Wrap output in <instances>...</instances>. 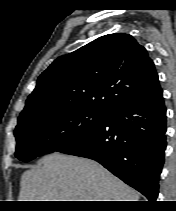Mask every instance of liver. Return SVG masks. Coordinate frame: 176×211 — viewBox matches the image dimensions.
Returning <instances> with one entry per match:
<instances>
[{
  "mask_svg": "<svg viewBox=\"0 0 176 211\" xmlns=\"http://www.w3.org/2000/svg\"><path fill=\"white\" fill-rule=\"evenodd\" d=\"M132 188L94 160L48 154L21 176L18 201H138Z\"/></svg>",
  "mask_w": 176,
  "mask_h": 211,
  "instance_id": "liver-1",
  "label": "liver"
}]
</instances>
